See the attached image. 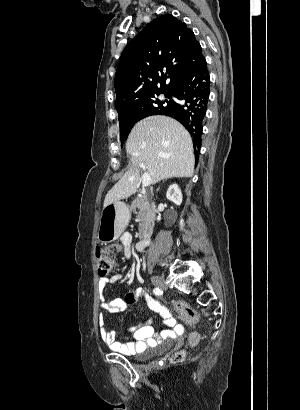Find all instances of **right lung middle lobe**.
Listing matches in <instances>:
<instances>
[{"label":"right lung middle lobe","mask_w":300,"mask_h":410,"mask_svg":"<svg viewBox=\"0 0 300 410\" xmlns=\"http://www.w3.org/2000/svg\"><path fill=\"white\" fill-rule=\"evenodd\" d=\"M160 94H164L165 97L170 98V100L160 101L156 98ZM171 96L172 91H161L156 94H153L142 101L143 107L141 109V113L138 116L123 121H119L121 141L123 142L127 139L128 134L130 133L132 127L137 121L147 116L154 115L164 107L168 106L172 102Z\"/></svg>","instance_id":"1"}]
</instances>
